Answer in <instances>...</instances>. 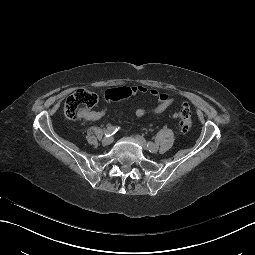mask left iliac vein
<instances>
[{
	"instance_id": "1",
	"label": "left iliac vein",
	"mask_w": 255,
	"mask_h": 255,
	"mask_svg": "<svg viewBox=\"0 0 255 255\" xmlns=\"http://www.w3.org/2000/svg\"><path fill=\"white\" fill-rule=\"evenodd\" d=\"M137 142L144 148V149H148L150 152L152 153H156L158 151V147L157 146H154L152 148H148L147 146V143H146V140L140 136V135H136L135 136Z\"/></svg>"
}]
</instances>
